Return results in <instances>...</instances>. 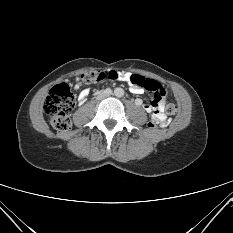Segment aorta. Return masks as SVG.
Segmentation results:
<instances>
[{"label": "aorta", "instance_id": "obj_1", "mask_svg": "<svg viewBox=\"0 0 233 233\" xmlns=\"http://www.w3.org/2000/svg\"><path fill=\"white\" fill-rule=\"evenodd\" d=\"M114 94L117 97H122L124 95V90L122 88H115Z\"/></svg>", "mask_w": 233, "mask_h": 233}]
</instances>
